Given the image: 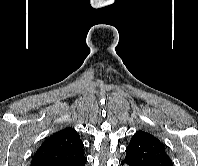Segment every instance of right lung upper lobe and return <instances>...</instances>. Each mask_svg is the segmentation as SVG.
<instances>
[{
	"mask_svg": "<svg viewBox=\"0 0 198 166\" xmlns=\"http://www.w3.org/2000/svg\"><path fill=\"white\" fill-rule=\"evenodd\" d=\"M83 147L79 134L72 128H65L42 143L31 166H73L86 160Z\"/></svg>",
	"mask_w": 198,
	"mask_h": 166,
	"instance_id": "1",
	"label": "right lung upper lobe"
}]
</instances>
